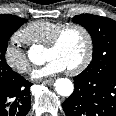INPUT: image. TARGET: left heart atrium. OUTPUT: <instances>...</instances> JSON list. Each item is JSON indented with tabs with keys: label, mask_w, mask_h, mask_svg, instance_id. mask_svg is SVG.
<instances>
[{
	"label": "left heart atrium",
	"mask_w": 116,
	"mask_h": 116,
	"mask_svg": "<svg viewBox=\"0 0 116 116\" xmlns=\"http://www.w3.org/2000/svg\"><path fill=\"white\" fill-rule=\"evenodd\" d=\"M66 70L65 65L57 59L51 58L46 63L32 72L34 79L52 76Z\"/></svg>",
	"instance_id": "39dd6f15"
}]
</instances>
